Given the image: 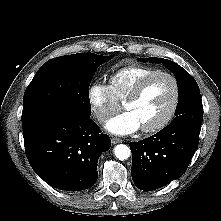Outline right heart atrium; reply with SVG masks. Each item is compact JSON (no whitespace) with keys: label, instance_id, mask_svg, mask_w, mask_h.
Segmentation results:
<instances>
[{"label":"right heart atrium","instance_id":"obj_1","mask_svg":"<svg viewBox=\"0 0 221 221\" xmlns=\"http://www.w3.org/2000/svg\"><path fill=\"white\" fill-rule=\"evenodd\" d=\"M87 100L96 120L104 123L118 108L109 85L95 81L87 89Z\"/></svg>","mask_w":221,"mask_h":221}]
</instances>
